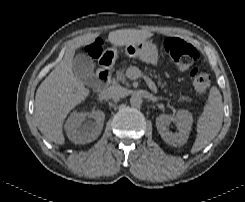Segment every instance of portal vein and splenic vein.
I'll return each instance as SVG.
<instances>
[{
	"label": "portal vein and splenic vein",
	"mask_w": 245,
	"mask_h": 202,
	"mask_svg": "<svg viewBox=\"0 0 245 202\" xmlns=\"http://www.w3.org/2000/svg\"><path fill=\"white\" fill-rule=\"evenodd\" d=\"M126 75L128 78L132 79V80H135L141 76H143V74L141 73V71L135 67V66H131L127 69V72H126ZM144 79L146 80L148 86L150 87V89L154 92V93H157L158 90H157V87L156 85L154 84V82H152L151 79L147 78L146 76H144Z\"/></svg>",
	"instance_id": "portal-vein-and-splenic-vein-1"
}]
</instances>
